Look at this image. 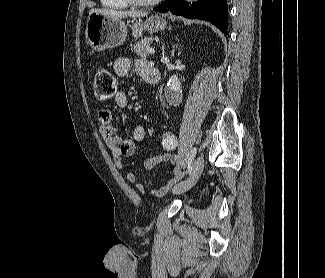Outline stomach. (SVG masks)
Listing matches in <instances>:
<instances>
[{"label": "stomach", "instance_id": "obj_1", "mask_svg": "<svg viewBox=\"0 0 325 278\" xmlns=\"http://www.w3.org/2000/svg\"><path fill=\"white\" fill-rule=\"evenodd\" d=\"M167 22L161 16L152 15L144 22L132 21V34L140 37L143 31L155 33L166 28ZM86 42L97 52L121 45L127 37V26L121 18L104 16L100 13L89 15L86 24Z\"/></svg>", "mask_w": 325, "mask_h": 278}]
</instances>
